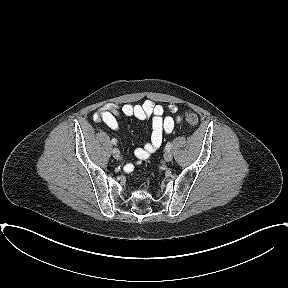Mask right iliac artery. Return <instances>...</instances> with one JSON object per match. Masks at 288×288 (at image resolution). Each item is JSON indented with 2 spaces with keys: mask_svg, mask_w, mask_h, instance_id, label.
Listing matches in <instances>:
<instances>
[{
  "mask_svg": "<svg viewBox=\"0 0 288 288\" xmlns=\"http://www.w3.org/2000/svg\"><path fill=\"white\" fill-rule=\"evenodd\" d=\"M111 143H112L113 145H116L117 139L113 138V139L111 140Z\"/></svg>",
  "mask_w": 288,
  "mask_h": 288,
  "instance_id": "obj_1",
  "label": "right iliac artery"
}]
</instances>
